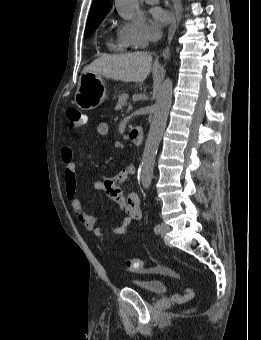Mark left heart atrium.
Wrapping results in <instances>:
<instances>
[{
  "mask_svg": "<svg viewBox=\"0 0 261 340\" xmlns=\"http://www.w3.org/2000/svg\"><path fill=\"white\" fill-rule=\"evenodd\" d=\"M168 21V15L161 9L152 10V22L156 26H162Z\"/></svg>",
  "mask_w": 261,
  "mask_h": 340,
  "instance_id": "obj_1",
  "label": "left heart atrium"
}]
</instances>
